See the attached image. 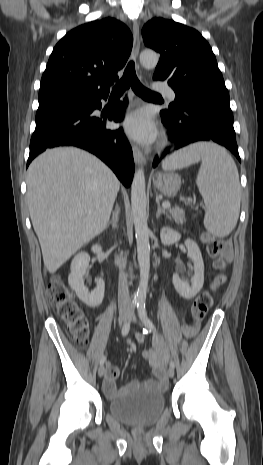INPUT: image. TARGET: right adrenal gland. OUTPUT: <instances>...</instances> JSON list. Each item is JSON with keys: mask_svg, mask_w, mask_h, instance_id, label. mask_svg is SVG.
<instances>
[{"mask_svg": "<svg viewBox=\"0 0 263 465\" xmlns=\"http://www.w3.org/2000/svg\"><path fill=\"white\" fill-rule=\"evenodd\" d=\"M119 213H120V209H119L118 205H116L115 211H114L113 214H112V219H111V221L108 223L107 226L111 225L113 229H116V228H117V226H118V221H119Z\"/></svg>", "mask_w": 263, "mask_h": 465, "instance_id": "obj_1", "label": "right adrenal gland"}]
</instances>
